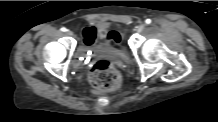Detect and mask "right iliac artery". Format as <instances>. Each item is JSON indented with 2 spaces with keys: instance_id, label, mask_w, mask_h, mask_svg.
<instances>
[{
  "instance_id": "obj_1",
  "label": "right iliac artery",
  "mask_w": 218,
  "mask_h": 122,
  "mask_svg": "<svg viewBox=\"0 0 218 122\" xmlns=\"http://www.w3.org/2000/svg\"><path fill=\"white\" fill-rule=\"evenodd\" d=\"M61 31L66 32L67 29H66L65 27H62V28H61Z\"/></svg>"
}]
</instances>
